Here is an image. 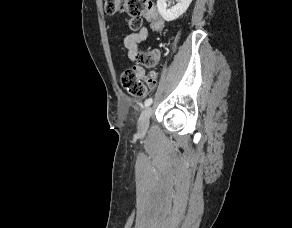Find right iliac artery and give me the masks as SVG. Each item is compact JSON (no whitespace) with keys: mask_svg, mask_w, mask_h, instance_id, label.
<instances>
[{"mask_svg":"<svg viewBox=\"0 0 292 228\" xmlns=\"http://www.w3.org/2000/svg\"><path fill=\"white\" fill-rule=\"evenodd\" d=\"M152 101H153L152 98L147 99V100L145 101V107L150 106L151 103H152Z\"/></svg>","mask_w":292,"mask_h":228,"instance_id":"1","label":"right iliac artery"}]
</instances>
